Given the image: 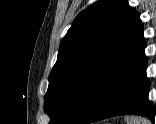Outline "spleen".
Wrapping results in <instances>:
<instances>
[{
    "mask_svg": "<svg viewBox=\"0 0 156 124\" xmlns=\"http://www.w3.org/2000/svg\"><path fill=\"white\" fill-rule=\"evenodd\" d=\"M127 124H151L148 119L142 117H127Z\"/></svg>",
    "mask_w": 156,
    "mask_h": 124,
    "instance_id": "1",
    "label": "spleen"
}]
</instances>
